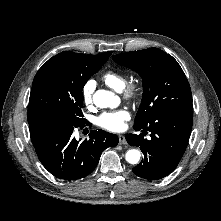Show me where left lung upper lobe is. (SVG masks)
<instances>
[{
  "instance_id": "left-lung-upper-lobe-1",
  "label": "left lung upper lobe",
  "mask_w": 221,
  "mask_h": 221,
  "mask_svg": "<svg viewBox=\"0 0 221 221\" xmlns=\"http://www.w3.org/2000/svg\"><path fill=\"white\" fill-rule=\"evenodd\" d=\"M113 60L135 70L143 83V97L134 127H144L163 112L192 111V93L178 62L158 48L126 52Z\"/></svg>"
}]
</instances>
